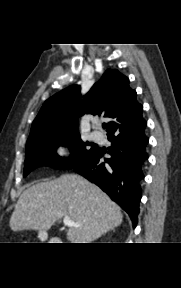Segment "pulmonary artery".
<instances>
[{
	"instance_id": "obj_1",
	"label": "pulmonary artery",
	"mask_w": 181,
	"mask_h": 288,
	"mask_svg": "<svg viewBox=\"0 0 181 288\" xmlns=\"http://www.w3.org/2000/svg\"><path fill=\"white\" fill-rule=\"evenodd\" d=\"M92 139L95 141H102L103 140V134L100 131H93L92 134Z\"/></svg>"
}]
</instances>
